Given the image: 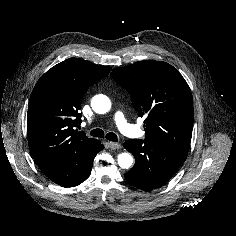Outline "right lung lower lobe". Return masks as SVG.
<instances>
[{
	"label": "right lung lower lobe",
	"instance_id": "obj_1",
	"mask_svg": "<svg viewBox=\"0 0 236 236\" xmlns=\"http://www.w3.org/2000/svg\"><path fill=\"white\" fill-rule=\"evenodd\" d=\"M103 148L104 146L97 142L92 150L76 152L40 168L53 182L63 187H73L89 176L93 160Z\"/></svg>",
	"mask_w": 236,
	"mask_h": 236
}]
</instances>
